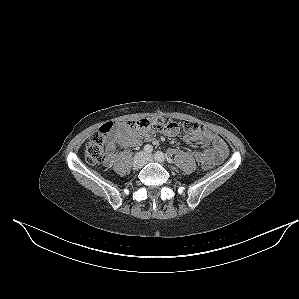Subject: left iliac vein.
<instances>
[{
	"label": "left iliac vein",
	"instance_id": "obj_1",
	"mask_svg": "<svg viewBox=\"0 0 299 299\" xmlns=\"http://www.w3.org/2000/svg\"><path fill=\"white\" fill-rule=\"evenodd\" d=\"M145 161L146 162H152V161H154L153 156L150 155V154L146 155Z\"/></svg>",
	"mask_w": 299,
	"mask_h": 299
}]
</instances>
